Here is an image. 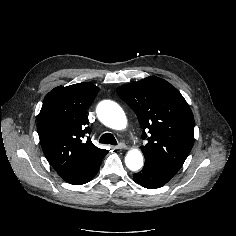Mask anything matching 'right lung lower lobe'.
Here are the masks:
<instances>
[{"instance_id":"1","label":"right lung lower lobe","mask_w":236,"mask_h":236,"mask_svg":"<svg viewBox=\"0 0 236 236\" xmlns=\"http://www.w3.org/2000/svg\"><path fill=\"white\" fill-rule=\"evenodd\" d=\"M101 162L93 170H91L85 177H83L77 181L71 182L70 184L81 185V184H85V183L89 182L97 174Z\"/></svg>"}]
</instances>
